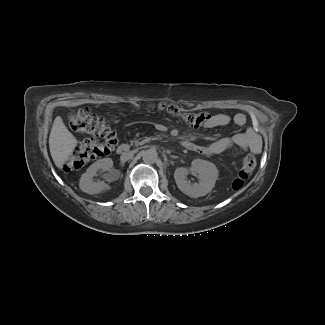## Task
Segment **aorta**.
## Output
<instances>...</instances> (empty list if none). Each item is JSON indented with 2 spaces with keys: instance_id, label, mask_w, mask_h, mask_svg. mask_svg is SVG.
<instances>
[{
  "instance_id": "1",
  "label": "aorta",
  "mask_w": 325,
  "mask_h": 325,
  "mask_svg": "<svg viewBox=\"0 0 325 325\" xmlns=\"http://www.w3.org/2000/svg\"><path fill=\"white\" fill-rule=\"evenodd\" d=\"M158 154L155 149H148L142 152V159L146 164H153L157 161Z\"/></svg>"
}]
</instances>
